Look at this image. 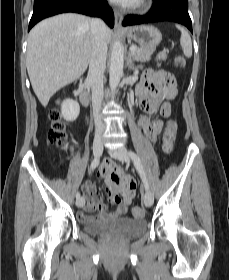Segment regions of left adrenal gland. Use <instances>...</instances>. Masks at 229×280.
<instances>
[{
  "label": "left adrenal gland",
  "instance_id": "1",
  "mask_svg": "<svg viewBox=\"0 0 229 280\" xmlns=\"http://www.w3.org/2000/svg\"><path fill=\"white\" fill-rule=\"evenodd\" d=\"M127 66H128L129 69H132V70L136 69V67H135V65H134V63L131 59V54L130 53L128 55Z\"/></svg>",
  "mask_w": 229,
  "mask_h": 280
}]
</instances>
